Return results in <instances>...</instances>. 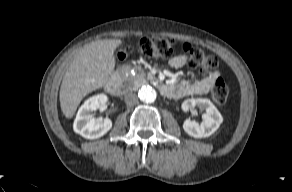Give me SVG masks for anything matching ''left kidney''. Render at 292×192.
<instances>
[{"label": "left kidney", "mask_w": 292, "mask_h": 192, "mask_svg": "<svg viewBox=\"0 0 292 192\" xmlns=\"http://www.w3.org/2000/svg\"><path fill=\"white\" fill-rule=\"evenodd\" d=\"M194 107L205 110L202 115V122L187 119L183 123L184 131L194 138H205L212 135L223 122V117L214 106V104L206 98H191L182 103V110L187 112Z\"/></svg>", "instance_id": "obj_1"}]
</instances>
